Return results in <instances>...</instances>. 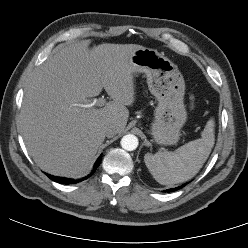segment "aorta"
<instances>
[{"label":"aorta","mask_w":248,"mask_h":248,"mask_svg":"<svg viewBox=\"0 0 248 248\" xmlns=\"http://www.w3.org/2000/svg\"><path fill=\"white\" fill-rule=\"evenodd\" d=\"M120 143L123 149L133 151L138 146V138L133 134H128L123 136Z\"/></svg>","instance_id":"obj_1"}]
</instances>
